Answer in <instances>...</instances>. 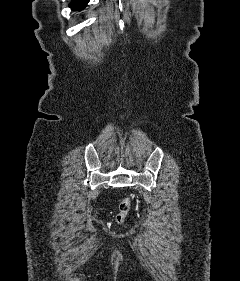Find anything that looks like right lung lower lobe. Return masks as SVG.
Wrapping results in <instances>:
<instances>
[{"label":"right lung lower lobe","instance_id":"obj_1","mask_svg":"<svg viewBox=\"0 0 240 281\" xmlns=\"http://www.w3.org/2000/svg\"><path fill=\"white\" fill-rule=\"evenodd\" d=\"M89 0H72L70 7L76 10H82L86 7Z\"/></svg>","mask_w":240,"mask_h":281}]
</instances>
